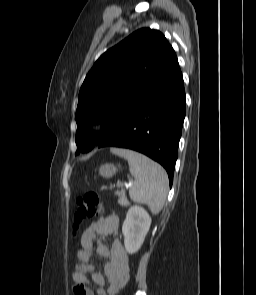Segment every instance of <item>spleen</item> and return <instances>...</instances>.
Here are the masks:
<instances>
[{"mask_svg": "<svg viewBox=\"0 0 256 295\" xmlns=\"http://www.w3.org/2000/svg\"><path fill=\"white\" fill-rule=\"evenodd\" d=\"M111 152L127 159L134 182L129 190L136 203L147 204L153 214H158L166 201L168 176L166 171L148 157L131 150L111 149ZM119 204L129 205L121 199Z\"/></svg>", "mask_w": 256, "mask_h": 295, "instance_id": "1", "label": "spleen"}]
</instances>
